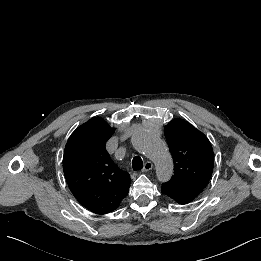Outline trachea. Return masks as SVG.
<instances>
[{"mask_svg": "<svg viewBox=\"0 0 261 261\" xmlns=\"http://www.w3.org/2000/svg\"><path fill=\"white\" fill-rule=\"evenodd\" d=\"M132 168L134 171H139L143 168V161L141 157L135 156L132 160Z\"/></svg>", "mask_w": 261, "mask_h": 261, "instance_id": "1", "label": "trachea"}]
</instances>
